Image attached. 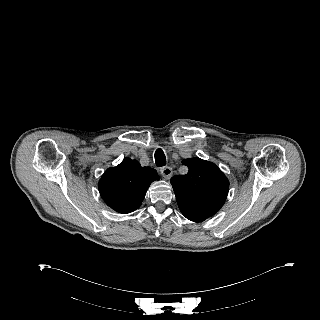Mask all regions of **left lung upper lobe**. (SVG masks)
<instances>
[{
    "label": "left lung upper lobe",
    "mask_w": 320,
    "mask_h": 320,
    "mask_svg": "<svg viewBox=\"0 0 320 320\" xmlns=\"http://www.w3.org/2000/svg\"><path fill=\"white\" fill-rule=\"evenodd\" d=\"M189 168L186 175H176L170 180L180 210L199 219H207L223 206L229 181L212 162L200 158L182 161Z\"/></svg>",
    "instance_id": "5c2ea615"
}]
</instances>
